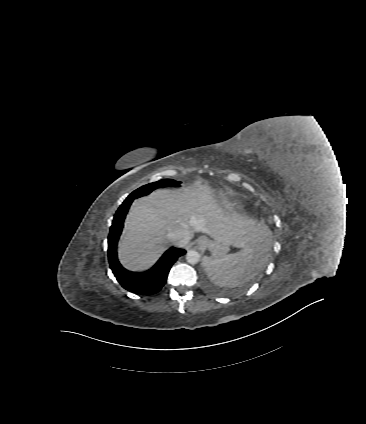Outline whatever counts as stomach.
<instances>
[{"mask_svg":"<svg viewBox=\"0 0 366 424\" xmlns=\"http://www.w3.org/2000/svg\"><path fill=\"white\" fill-rule=\"evenodd\" d=\"M205 248L209 249L215 258L225 256L229 251V245L219 240L208 239Z\"/></svg>","mask_w":366,"mask_h":424,"instance_id":"obj_1","label":"stomach"}]
</instances>
